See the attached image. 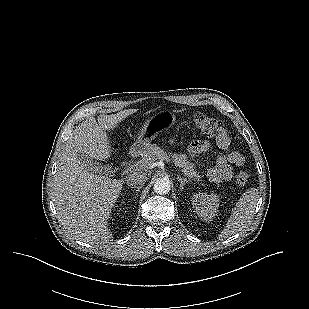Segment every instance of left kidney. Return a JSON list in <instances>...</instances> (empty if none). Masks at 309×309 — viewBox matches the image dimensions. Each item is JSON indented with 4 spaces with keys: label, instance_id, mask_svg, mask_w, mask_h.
I'll return each mask as SVG.
<instances>
[{
    "label": "left kidney",
    "instance_id": "1",
    "mask_svg": "<svg viewBox=\"0 0 309 309\" xmlns=\"http://www.w3.org/2000/svg\"><path fill=\"white\" fill-rule=\"evenodd\" d=\"M195 213L204 221H210L216 215L219 198L215 194L199 193L192 197Z\"/></svg>",
    "mask_w": 309,
    "mask_h": 309
}]
</instances>
